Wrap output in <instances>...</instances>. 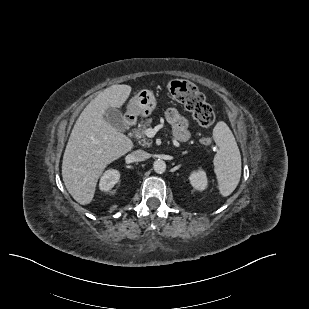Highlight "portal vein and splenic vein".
I'll return each instance as SVG.
<instances>
[{
	"instance_id": "portal-vein-and-splenic-vein-1",
	"label": "portal vein and splenic vein",
	"mask_w": 309,
	"mask_h": 309,
	"mask_svg": "<svg viewBox=\"0 0 309 309\" xmlns=\"http://www.w3.org/2000/svg\"><path fill=\"white\" fill-rule=\"evenodd\" d=\"M146 133H147V135H148L149 137H153V136L155 135V130L152 129V128H148V129L146 130Z\"/></svg>"
}]
</instances>
